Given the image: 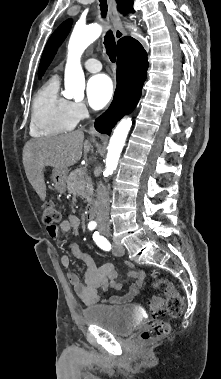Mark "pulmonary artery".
I'll use <instances>...</instances> for the list:
<instances>
[{"label":"pulmonary artery","instance_id":"1","mask_svg":"<svg viewBox=\"0 0 221 379\" xmlns=\"http://www.w3.org/2000/svg\"><path fill=\"white\" fill-rule=\"evenodd\" d=\"M83 66L87 71L92 73L99 72L102 69L100 61L94 58L87 59Z\"/></svg>","mask_w":221,"mask_h":379}]
</instances>
